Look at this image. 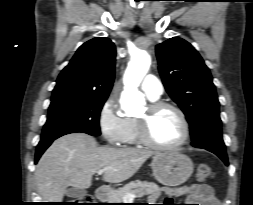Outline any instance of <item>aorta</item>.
<instances>
[{
    "instance_id": "1",
    "label": "aorta",
    "mask_w": 253,
    "mask_h": 205,
    "mask_svg": "<svg viewBox=\"0 0 253 205\" xmlns=\"http://www.w3.org/2000/svg\"><path fill=\"white\" fill-rule=\"evenodd\" d=\"M150 64L151 58L146 50L136 49L134 51L124 76L125 87L122 106L128 115L138 112L145 103L144 95L137 88Z\"/></svg>"
}]
</instances>
